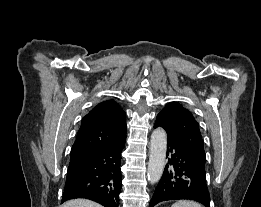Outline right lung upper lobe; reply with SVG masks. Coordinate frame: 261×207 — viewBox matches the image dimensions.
<instances>
[{"label":"right lung upper lobe","instance_id":"cb5924a9","mask_svg":"<svg viewBox=\"0 0 261 207\" xmlns=\"http://www.w3.org/2000/svg\"><path fill=\"white\" fill-rule=\"evenodd\" d=\"M125 112L114 100L95 106L83 119L70 157L116 145L126 139Z\"/></svg>","mask_w":261,"mask_h":207}]
</instances>
